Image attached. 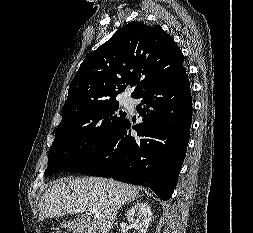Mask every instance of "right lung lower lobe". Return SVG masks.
Wrapping results in <instances>:
<instances>
[{
    "label": "right lung lower lobe",
    "instance_id": "obj_1",
    "mask_svg": "<svg viewBox=\"0 0 253 233\" xmlns=\"http://www.w3.org/2000/svg\"><path fill=\"white\" fill-rule=\"evenodd\" d=\"M135 98L143 122L131 126L125 118L109 142L70 172L113 178L151 188L170 199L185 158L192 119L190 84L186 69L166 74ZM137 137L131 136V129Z\"/></svg>",
    "mask_w": 253,
    "mask_h": 233
}]
</instances>
